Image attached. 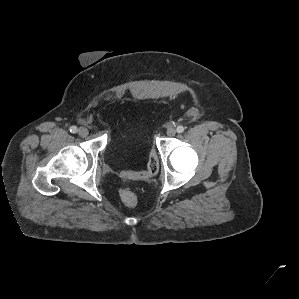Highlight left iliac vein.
I'll return each mask as SVG.
<instances>
[{
	"label": "left iliac vein",
	"mask_w": 299,
	"mask_h": 299,
	"mask_svg": "<svg viewBox=\"0 0 299 299\" xmlns=\"http://www.w3.org/2000/svg\"><path fill=\"white\" fill-rule=\"evenodd\" d=\"M175 134H176V130L174 128L170 127L167 129V135L169 137H173V136H175Z\"/></svg>",
	"instance_id": "left-iliac-vein-1"
}]
</instances>
